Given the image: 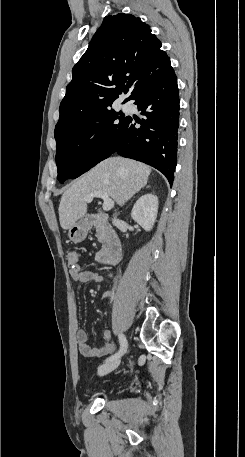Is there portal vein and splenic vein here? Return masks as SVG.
<instances>
[{
    "label": "portal vein and splenic vein",
    "mask_w": 245,
    "mask_h": 457,
    "mask_svg": "<svg viewBox=\"0 0 245 457\" xmlns=\"http://www.w3.org/2000/svg\"><path fill=\"white\" fill-rule=\"evenodd\" d=\"M94 196H100V198H103V210H111L112 206H114V200L110 198L108 192H103V190H94V192H91L90 196H85V202H91Z\"/></svg>",
    "instance_id": "obj_1"
}]
</instances>
